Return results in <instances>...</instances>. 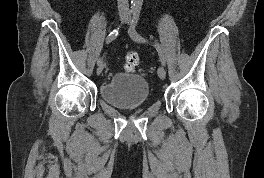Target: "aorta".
Instances as JSON below:
<instances>
[{
  "instance_id": "762f6f07",
  "label": "aorta",
  "mask_w": 264,
  "mask_h": 178,
  "mask_svg": "<svg viewBox=\"0 0 264 178\" xmlns=\"http://www.w3.org/2000/svg\"><path fill=\"white\" fill-rule=\"evenodd\" d=\"M143 0H131V10L139 12L141 10Z\"/></svg>"
}]
</instances>
